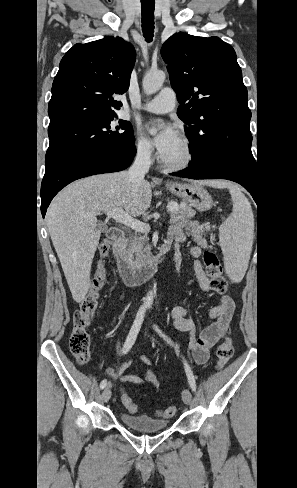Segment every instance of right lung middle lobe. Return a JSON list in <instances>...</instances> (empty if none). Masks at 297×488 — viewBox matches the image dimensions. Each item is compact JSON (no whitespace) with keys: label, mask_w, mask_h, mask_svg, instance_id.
<instances>
[{"label":"right lung middle lobe","mask_w":297,"mask_h":488,"mask_svg":"<svg viewBox=\"0 0 297 488\" xmlns=\"http://www.w3.org/2000/svg\"><path fill=\"white\" fill-rule=\"evenodd\" d=\"M114 117L81 122L48 133L50 145L45 156L46 170L75 153L134 144L131 124L120 120L118 126L112 127L110 122Z\"/></svg>","instance_id":"dd1d6c3e"}]
</instances>
